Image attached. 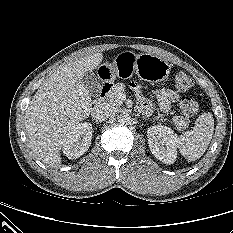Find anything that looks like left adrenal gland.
<instances>
[{
	"instance_id": "a2214340",
	"label": "left adrenal gland",
	"mask_w": 233,
	"mask_h": 233,
	"mask_svg": "<svg viewBox=\"0 0 233 233\" xmlns=\"http://www.w3.org/2000/svg\"><path fill=\"white\" fill-rule=\"evenodd\" d=\"M142 119H147L145 116H142Z\"/></svg>"
}]
</instances>
